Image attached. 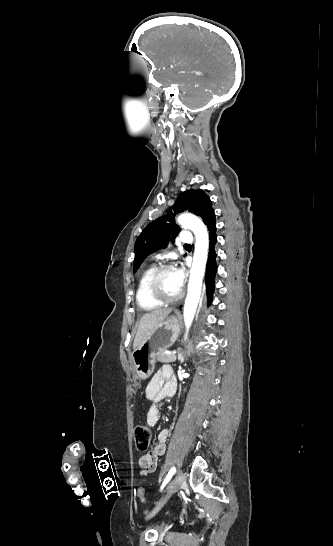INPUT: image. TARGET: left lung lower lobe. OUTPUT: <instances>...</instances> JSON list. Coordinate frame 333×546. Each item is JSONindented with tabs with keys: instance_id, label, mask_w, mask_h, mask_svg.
Returning a JSON list of instances; mask_svg holds the SVG:
<instances>
[{
	"instance_id": "left-lung-lower-lobe-1",
	"label": "left lung lower lobe",
	"mask_w": 333,
	"mask_h": 546,
	"mask_svg": "<svg viewBox=\"0 0 333 546\" xmlns=\"http://www.w3.org/2000/svg\"><path fill=\"white\" fill-rule=\"evenodd\" d=\"M206 229H207V233L209 237V253H208V259H207V265H206L205 284H206L208 304H210L212 301L214 288H215L214 278L217 272L216 252L214 250V246L217 242L215 215H213L210 218L209 222L206 224Z\"/></svg>"
}]
</instances>
